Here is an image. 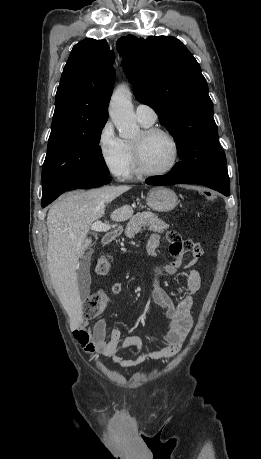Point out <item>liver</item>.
<instances>
[{
    "label": "liver",
    "instance_id": "liver-1",
    "mask_svg": "<svg viewBox=\"0 0 261 459\" xmlns=\"http://www.w3.org/2000/svg\"><path fill=\"white\" fill-rule=\"evenodd\" d=\"M130 188L128 185L104 186L89 191L69 192L48 212V269L54 289L70 318L72 330L79 327L83 315L77 270L80 259L92 243L87 233L91 225L105 214L106 204ZM132 214V208L124 205L116 209L111 218L124 221Z\"/></svg>",
    "mask_w": 261,
    "mask_h": 459
}]
</instances>
